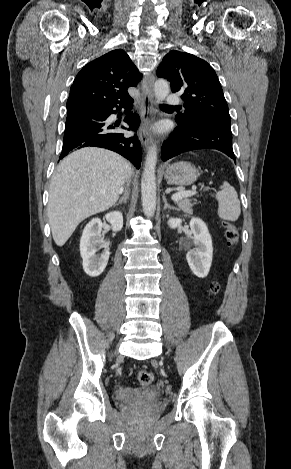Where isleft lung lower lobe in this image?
<instances>
[{
  "instance_id": "obj_1",
  "label": "left lung lower lobe",
  "mask_w": 291,
  "mask_h": 469,
  "mask_svg": "<svg viewBox=\"0 0 291 469\" xmlns=\"http://www.w3.org/2000/svg\"><path fill=\"white\" fill-rule=\"evenodd\" d=\"M203 148L217 149L235 160L231 126L202 119L178 125L161 148L162 159L166 161L180 153Z\"/></svg>"
}]
</instances>
